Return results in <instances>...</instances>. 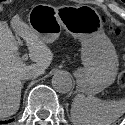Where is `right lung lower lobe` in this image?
<instances>
[{
	"label": "right lung lower lobe",
	"mask_w": 125,
	"mask_h": 125,
	"mask_svg": "<svg viewBox=\"0 0 125 125\" xmlns=\"http://www.w3.org/2000/svg\"><path fill=\"white\" fill-rule=\"evenodd\" d=\"M11 121V120H10ZM10 121H0V123H8V122H10Z\"/></svg>",
	"instance_id": "obj_1"
}]
</instances>
